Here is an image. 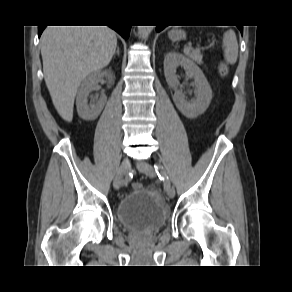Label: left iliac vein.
Instances as JSON below:
<instances>
[{"label":"left iliac vein","instance_id":"obj_1","mask_svg":"<svg viewBox=\"0 0 292 292\" xmlns=\"http://www.w3.org/2000/svg\"><path fill=\"white\" fill-rule=\"evenodd\" d=\"M137 168L140 172L144 173L150 178H153L156 175L154 168L146 161H139L137 163ZM166 193L170 199L175 197V189L172 186L166 190Z\"/></svg>","mask_w":292,"mask_h":292}]
</instances>
